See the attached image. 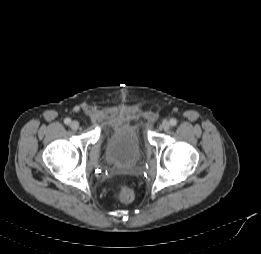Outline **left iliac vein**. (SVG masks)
I'll use <instances>...</instances> for the list:
<instances>
[{"label":"left iliac vein","instance_id":"4c4485c4","mask_svg":"<svg viewBox=\"0 0 261 254\" xmlns=\"http://www.w3.org/2000/svg\"><path fill=\"white\" fill-rule=\"evenodd\" d=\"M161 128L165 131L170 129V123L167 120H164L161 124Z\"/></svg>","mask_w":261,"mask_h":254}]
</instances>
